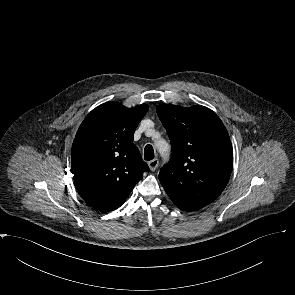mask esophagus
I'll use <instances>...</instances> for the list:
<instances>
[{
	"instance_id": "34e87169",
	"label": "esophagus",
	"mask_w": 295,
	"mask_h": 295,
	"mask_svg": "<svg viewBox=\"0 0 295 295\" xmlns=\"http://www.w3.org/2000/svg\"><path fill=\"white\" fill-rule=\"evenodd\" d=\"M158 164H159L158 159H153V160L148 162V166H149L151 171H155L157 169V167H158Z\"/></svg>"
}]
</instances>
